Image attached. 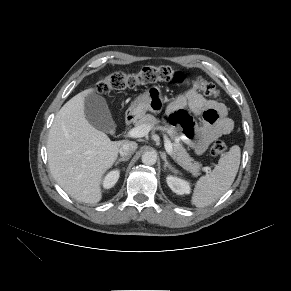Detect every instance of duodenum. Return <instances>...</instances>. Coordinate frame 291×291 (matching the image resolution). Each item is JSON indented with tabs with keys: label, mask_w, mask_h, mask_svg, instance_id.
Masks as SVG:
<instances>
[{
	"label": "duodenum",
	"mask_w": 291,
	"mask_h": 291,
	"mask_svg": "<svg viewBox=\"0 0 291 291\" xmlns=\"http://www.w3.org/2000/svg\"><path fill=\"white\" fill-rule=\"evenodd\" d=\"M136 119V115L133 112H130L126 115L125 123L127 126L131 125Z\"/></svg>",
	"instance_id": "duodenum-1"
}]
</instances>
